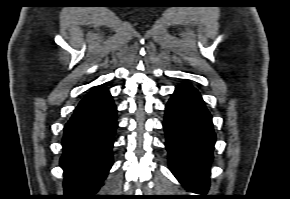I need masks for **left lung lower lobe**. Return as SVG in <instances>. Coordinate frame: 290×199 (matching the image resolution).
I'll return each mask as SVG.
<instances>
[{"label": "left lung lower lobe", "instance_id": "obj_1", "mask_svg": "<svg viewBox=\"0 0 290 199\" xmlns=\"http://www.w3.org/2000/svg\"><path fill=\"white\" fill-rule=\"evenodd\" d=\"M163 127L170 170L188 190L206 193L216 136L212 117L190 84L176 87L166 105Z\"/></svg>", "mask_w": 290, "mask_h": 199}]
</instances>
